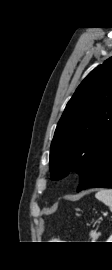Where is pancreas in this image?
Wrapping results in <instances>:
<instances>
[{
    "label": "pancreas",
    "mask_w": 112,
    "mask_h": 270,
    "mask_svg": "<svg viewBox=\"0 0 112 270\" xmlns=\"http://www.w3.org/2000/svg\"><path fill=\"white\" fill-rule=\"evenodd\" d=\"M90 236L93 239V241H95L100 236V232H96V230L95 231H91L90 232Z\"/></svg>",
    "instance_id": "1"
}]
</instances>
